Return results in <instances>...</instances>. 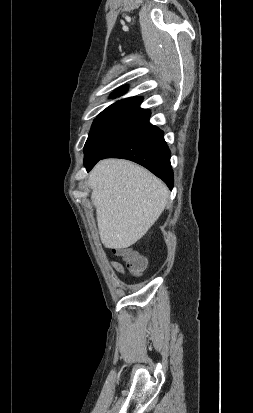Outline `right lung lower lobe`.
<instances>
[{
	"label": "right lung lower lobe",
	"mask_w": 253,
	"mask_h": 413,
	"mask_svg": "<svg viewBox=\"0 0 253 413\" xmlns=\"http://www.w3.org/2000/svg\"><path fill=\"white\" fill-rule=\"evenodd\" d=\"M170 150L163 138V132L149 123L118 143L97 160L85 164L87 171L103 158H124L134 161L173 188V171L170 164Z\"/></svg>",
	"instance_id": "98d812e1"
}]
</instances>
